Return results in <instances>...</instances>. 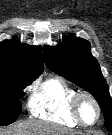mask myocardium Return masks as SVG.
Segmentation results:
<instances>
[{
    "label": "myocardium",
    "mask_w": 112,
    "mask_h": 135,
    "mask_svg": "<svg viewBox=\"0 0 112 135\" xmlns=\"http://www.w3.org/2000/svg\"><path fill=\"white\" fill-rule=\"evenodd\" d=\"M84 98L89 99L96 108L97 117L93 123H86L81 117L80 101ZM71 112H72V115L74 116V118L76 119V121L79 123V125L84 126V127H90V126H94L95 124H97V122L101 118L102 111H101V106H100L98 100L90 92L79 91V92H76L71 99Z\"/></svg>",
    "instance_id": "myocardium-1"
}]
</instances>
